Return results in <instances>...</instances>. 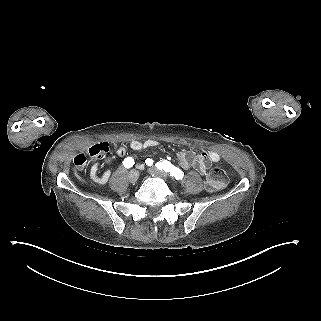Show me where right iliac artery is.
Segmentation results:
<instances>
[{
  "label": "right iliac artery",
  "instance_id": "obj_1",
  "mask_svg": "<svg viewBox=\"0 0 321 321\" xmlns=\"http://www.w3.org/2000/svg\"><path fill=\"white\" fill-rule=\"evenodd\" d=\"M123 165L126 168H131L134 165V159L132 157H127L123 161Z\"/></svg>",
  "mask_w": 321,
  "mask_h": 321
}]
</instances>
